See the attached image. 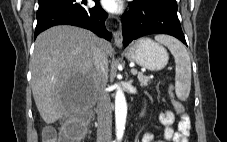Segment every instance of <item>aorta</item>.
Here are the masks:
<instances>
[{
	"label": "aorta",
	"mask_w": 227,
	"mask_h": 142,
	"mask_svg": "<svg viewBox=\"0 0 227 142\" xmlns=\"http://www.w3.org/2000/svg\"><path fill=\"white\" fill-rule=\"evenodd\" d=\"M116 95H115V130L116 137L118 140L122 139L126 117H127V102L125 99V95L119 85H115Z\"/></svg>",
	"instance_id": "1"
}]
</instances>
